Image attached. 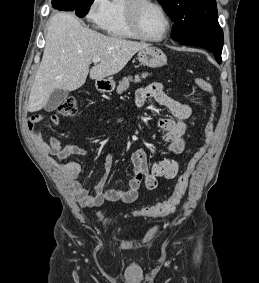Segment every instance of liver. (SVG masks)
I'll return each instance as SVG.
<instances>
[{"instance_id": "obj_1", "label": "liver", "mask_w": 259, "mask_h": 283, "mask_svg": "<svg viewBox=\"0 0 259 283\" xmlns=\"http://www.w3.org/2000/svg\"><path fill=\"white\" fill-rule=\"evenodd\" d=\"M42 61L32 86L28 111L45 107L55 90L73 91L84 85L88 74L102 80L120 72L135 53L148 44L103 35L81 25L72 13H55L48 25ZM101 61L89 71L92 59Z\"/></svg>"}]
</instances>
